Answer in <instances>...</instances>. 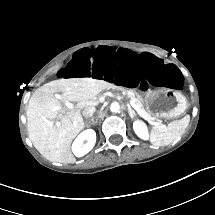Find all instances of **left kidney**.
Returning <instances> with one entry per match:
<instances>
[{
  "instance_id": "left-kidney-1",
  "label": "left kidney",
  "mask_w": 215,
  "mask_h": 215,
  "mask_svg": "<svg viewBox=\"0 0 215 215\" xmlns=\"http://www.w3.org/2000/svg\"><path fill=\"white\" fill-rule=\"evenodd\" d=\"M133 130L139 138L149 140L148 127L142 120H136L133 122Z\"/></svg>"
}]
</instances>
